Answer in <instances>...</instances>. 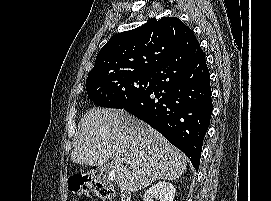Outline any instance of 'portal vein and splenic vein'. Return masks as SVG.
I'll return each mask as SVG.
<instances>
[{
    "label": "portal vein and splenic vein",
    "mask_w": 271,
    "mask_h": 201,
    "mask_svg": "<svg viewBox=\"0 0 271 201\" xmlns=\"http://www.w3.org/2000/svg\"><path fill=\"white\" fill-rule=\"evenodd\" d=\"M123 162L125 164H131L132 163V161L130 160V158H123Z\"/></svg>",
    "instance_id": "obj_1"
}]
</instances>
